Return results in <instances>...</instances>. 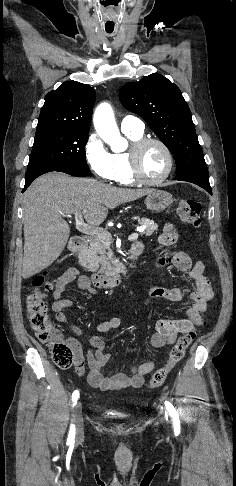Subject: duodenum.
Returning a JSON list of instances; mask_svg holds the SVG:
<instances>
[{
    "instance_id": "duodenum-1",
    "label": "duodenum",
    "mask_w": 236,
    "mask_h": 486,
    "mask_svg": "<svg viewBox=\"0 0 236 486\" xmlns=\"http://www.w3.org/2000/svg\"><path fill=\"white\" fill-rule=\"evenodd\" d=\"M87 247V240L82 236H75L70 241V251L75 259H79ZM130 254L132 258L137 257L140 254V248L138 245H133ZM129 269L122 268L116 273L110 275L103 274H93L91 277L87 278L89 283H92L96 288L99 289H109L120 286L126 276L128 275Z\"/></svg>"
}]
</instances>
